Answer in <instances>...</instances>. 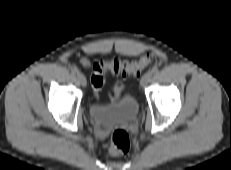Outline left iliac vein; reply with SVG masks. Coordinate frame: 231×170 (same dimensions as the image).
I'll list each match as a JSON object with an SVG mask.
<instances>
[{
  "label": "left iliac vein",
  "instance_id": "left-iliac-vein-1",
  "mask_svg": "<svg viewBox=\"0 0 231 170\" xmlns=\"http://www.w3.org/2000/svg\"><path fill=\"white\" fill-rule=\"evenodd\" d=\"M151 79H152V73L151 72L145 73L140 81L141 86L142 87L147 86V84L151 81Z\"/></svg>",
  "mask_w": 231,
  "mask_h": 170
}]
</instances>
